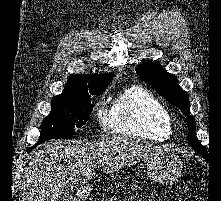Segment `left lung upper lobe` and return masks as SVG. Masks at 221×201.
<instances>
[{"label":"left lung upper lobe","mask_w":221,"mask_h":201,"mask_svg":"<svg viewBox=\"0 0 221 201\" xmlns=\"http://www.w3.org/2000/svg\"><path fill=\"white\" fill-rule=\"evenodd\" d=\"M136 71L143 81L149 83L169 103L178 107L181 112L187 116L189 130L188 143L195 151L201 154L205 160H208L209 155L207 149L198 141L195 135L196 122L194 117L190 116L188 94L178 86L177 77L167 73L163 67L153 62H144L137 67Z\"/></svg>","instance_id":"left-lung-upper-lobe-1"}]
</instances>
